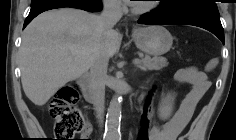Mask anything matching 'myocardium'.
<instances>
[{"mask_svg":"<svg viewBox=\"0 0 236 140\" xmlns=\"http://www.w3.org/2000/svg\"><path fill=\"white\" fill-rule=\"evenodd\" d=\"M157 7L155 2H149L146 4H134L132 5V11L136 14H144L153 11Z\"/></svg>","mask_w":236,"mask_h":140,"instance_id":"1","label":"myocardium"}]
</instances>
